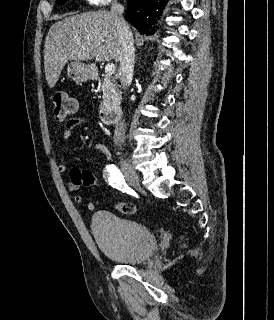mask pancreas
<instances>
[{
	"instance_id": "pancreas-1",
	"label": "pancreas",
	"mask_w": 274,
	"mask_h": 320,
	"mask_svg": "<svg viewBox=\"0 0 274 320\" xmlns=\"http://www.w3.org/2000/svg\"><path fill=\"white\" fill-rule=\"evenodd\" d=\"M103 84L101 90L103 92V100L101 102L100 110H107V108H113V106H119L121 102V94L115 84V78L112 76H103Z\"/></svg>"
}]
</instances>
